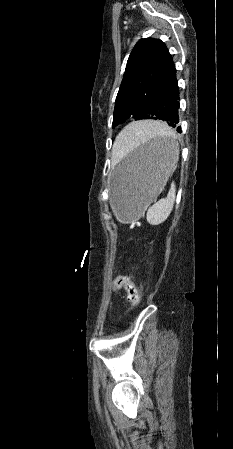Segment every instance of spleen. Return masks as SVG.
Returning <instances> with one entry per match:
<instances>
[{
    "label": "spleen",
    "mask_w": 233,
    "mask_h": 449,
    "mask_svg": "<svg viewBox=\"0 0 233 449\" xmlns=\"http://www.w3.org/2000/svg\"><path fill=\"white\" fill-rule=\"evenodd\" d=\"M169 125H134L128 126L120 133L116 141V153L120 157L132 151L144 142H158L162 137H169ZM177 153L179 152L178 143ZM175 201V187L172 185L167 198L155 202L147 210L146 218L151 225L163 223L170 215Z\"/></svg>",
    "instance_id": "1"
}]
</instances>
